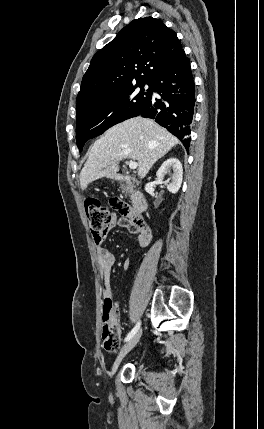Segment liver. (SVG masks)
<instances>
[{
    "label": "liver",
    "instance_id": "obj_1",
    "mask_svg": "<svg viewBox=\"0 0 264 429\" xmlns=\"http://www.w3.org/2000/svg\"><path fill=\"white\" fill-rule=\"evenodd\" d=\"M178 143L174 135L149 118L125 120L108 129L91 147L80 172L81 188L85 190L89 183L115 175L125 158L137 160L138 176L144 178L153 164Z\"/></svg>",
    "mask_w": 264,
    "mask_h": 429
}]
</instances>
